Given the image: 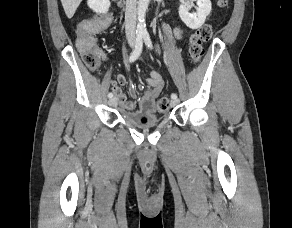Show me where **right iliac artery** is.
<instances>
[{
	"label": "right iliac artery",
	"mask_w": 292,
	"mask_h": 228,
	"mask_svg": "<svg viewBox=\"0 0 292 228\" xmlns=\"http://www.w3.org/2000/svg\"><path fill=\"white\" fill-rule=\"evenodd\" d=\"M142 48H143V36L142 35H137L136 37V44H135V48L133 50V52L131 53L130 57H129V62H134L138 59V57L140 56L141 52H142ZM109 98L113 97V93L110 92L108 94Z\"/></svg>",
	"instance_id": "1"
}]
</instances>
